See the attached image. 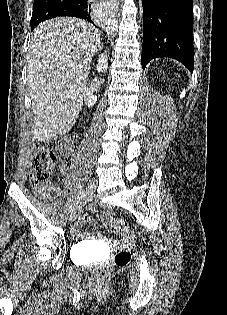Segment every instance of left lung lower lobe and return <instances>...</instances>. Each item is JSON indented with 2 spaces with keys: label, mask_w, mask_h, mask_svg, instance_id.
<instances>
[{
  "label": "left lung lower lobe",
  "mask_w": 227,
  "mask_h": 315,
  "mask_svg": "<svg viewBox=\"0 0 227 315\" xmlns=\"http://www.w3.org/2000/svg\"><path fill=\"white\" fill-rule=\"evenodd\" d=\"M142 1V67L154 58L165 56L178 60L192 72L193 0Z\"/></svg>",
  "instance_id": "0a47b994"
}]
</instances>
